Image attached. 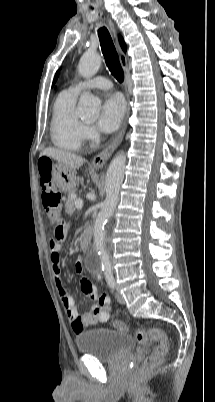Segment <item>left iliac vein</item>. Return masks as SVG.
Listing matches in <instances>:
<instances>
[{"instance_id":"left-iliac-vein-1","label":"left iliac vein","mask_w":215,"mask_h":402,"mask_svg":"<svg viewBox=\"0 0 215 402\" xmlns=\"http://www.w3.org/2000/svg\"><path fill=\"white\" fill-rule=\"evenodd\" d=\"M116 299L119 303L124 304L125 303V299L123 297V295L117 290L116 291Z\"/></svg>"}]
</instances>
